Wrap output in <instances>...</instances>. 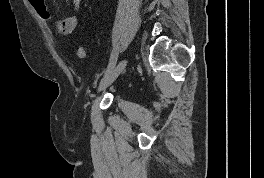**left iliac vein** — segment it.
<instances>
[{"label":"left iliac vein","instance_id":"4c4485c4","mask_svg":"<svg viewBox=\"0 0 264 178\" xmlns=\"http://www.w3.org/2000/svg\"><path fill=\"white\" fill-rule=\"evenodd\" d=\"M128 63L127 59L121 60L116 67H114L110 72L105 74V76L100 81L98 92L105 90L108 86H110L115 79L121 74V72L125 69Z\"/></svg>","mask_w":264,"mask_h":178}]
</instances>
